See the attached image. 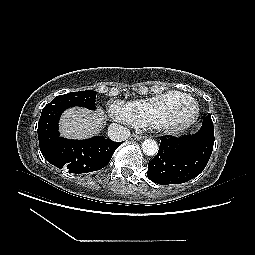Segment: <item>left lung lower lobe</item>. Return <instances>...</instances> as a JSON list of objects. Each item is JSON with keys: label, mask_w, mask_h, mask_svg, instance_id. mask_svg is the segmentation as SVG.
I'll use <instances>...</instances> for the list:
<instances>
[{"label": "left lung lower lobe", "mask_w": 255, "mask_h": 255, "mask_svg": "<svg viewBox=\"0 0 255 255\" xmlns=\"http://www.w3.org/2000/svg\"><path fill=\"white\" fill-rule=\"evenodd\" d=\"M214 145L211 115L194 135L164 136L157 155L148 164V178L157 184H180L198 176L207 165Z\"/></svg>", "instance_id": "obj_1"}]
</instances>
